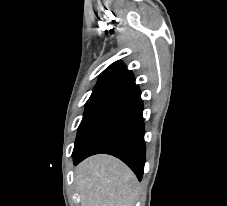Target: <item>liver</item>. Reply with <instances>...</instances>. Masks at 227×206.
<instances>
[{
	"label": "liver",
	"instance_id": "1",
	"mask_svg": "<svg viewBox=\"0 0 227 206\" xmlns=\"http://www.w3.org/2000/svg\"><path fill=\"white\" fill-rule=\"evenodd\" d=\"M81 206H134L136 177L119 159L95 155L75 170Z\"/></svg>",
	"mask_w": 227,
	"mask_h": 206
}]
</instances>
